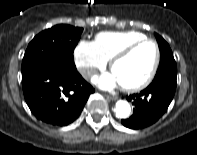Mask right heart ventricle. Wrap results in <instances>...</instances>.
<instances>
[{
  "mask_svg": "<svg viewBox=\"0 0 197 155\" xmlns=\"http://www.w3.org/2000/svg\"><path fill=\"white\" fill-rule=\"evenodd\" d=\"M146 38L142 32L135 30L103 31L95 36V44L107 60L124 46Z\"/></svg>",
  "mask_w": 197,
  "mask_h": 155,
  "instance_id": "e07e8e85",
  "label": "right heart ventricle"
}]
</instances>
